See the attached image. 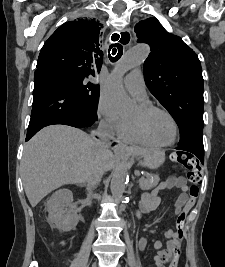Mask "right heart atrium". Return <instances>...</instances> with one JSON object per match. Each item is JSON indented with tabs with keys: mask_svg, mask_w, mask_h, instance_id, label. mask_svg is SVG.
Wrapping results in <instances>:
<instances>
[{
	"mask_svg": "<svg viewBox=\"0 0 225 267\" xmlns=\"http://www.w3.org/2000/svg\"><path fill=\"white\" fill-rule=\"evenodd\" d=\"M98 115L102 125L110 132L123 136L128 121L124 119L115 109L113 104L101 96L98 102Z\"/></svg>",
	"mask_w": 225,
	"mask_h": 267,
	"instance_id": "d8ad5b80",
	"label": "right heart atrium"
}]
</instances>
